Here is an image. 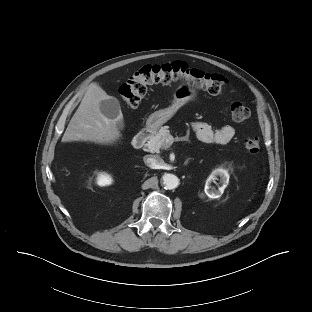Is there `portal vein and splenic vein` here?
Masks as SVG:
<instances>
[{
  "mask_svg": "<svg viewBox=\"0 0 312 312\" xmlns=\"http://www.w3.org/2000/svg\"><path fill=\"white\" fill-rule=\"evenodd\" d=\"M173 137L171 136V137H169V139H167V142H171V144L173 143Z\"/></svg>",
  "mask_w": 312,
  "mask_h": 312,
  "instance_id": "18ae733b",
  "label": "portal vein and splenic vein"
}]
</instances>
